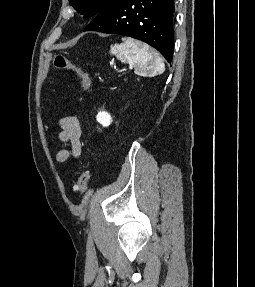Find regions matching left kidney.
<instances>
[{"mask_svg":"<svg viewBox=\"0 0 255 287\" xmlns=\"http://www.w3.org/2000/svg\"><path fill=\"white\" fill-rule=\"evenodd\" d=\"M96 120L99 124H102V126H110L112 122L111 116L110 114H107V112H98Z\"/></svg>","mask_w":255,"mask_h":287,"instance_id":"1","label":"left kidney"}]
</instances>
